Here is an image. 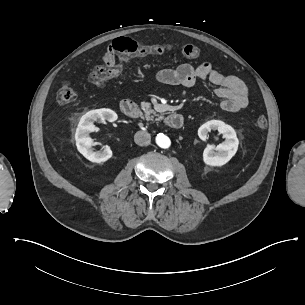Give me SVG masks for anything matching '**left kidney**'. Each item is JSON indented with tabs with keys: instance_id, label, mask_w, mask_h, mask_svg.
<instances>
[{
	"instance_id": "left-kidney-1",
	"label": "left kidney",
	"mask_w": 305,
	"mask_h": 305,
	"mask_svg": "<svg viewBox=\"0 0 305 305\" xmlns=\"http://www.w3.org/2000/svg\"><path fill=\"white\" fill-rule=\"evenodd\" d=\"M212 130L224 135V142L217 146L220 153L215 154L210 146L206 147L203 153V162L210 167H221L227 164L236 154L239 141L232 126L219 120H212L203 124L198 129V136L204 140L208 138Z\"/></svg>"
}]
</instances>
